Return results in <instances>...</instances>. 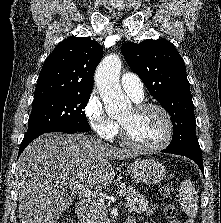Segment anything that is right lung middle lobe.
I'll return each instance as SVG.
<instances>
[{"label":"right lung middle lobe","mask_w":221,"mask_h":223,"mask_svg":"<svg viewBox=\"0 0 221 223\" xmlns=\"http://www.w3.org/2000/svg\"><path fill=\"white\" fill-rule=\"evenodd\" d=\"M89 98L90 93L34 99L26 134L51 128L89 131L90 126L83 111Z\"/></svg>","instance_id":"dd1d6c3e"}]
</instances>
